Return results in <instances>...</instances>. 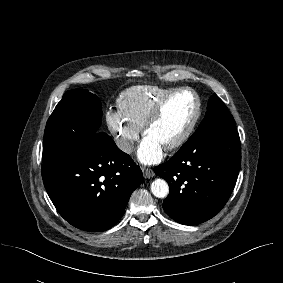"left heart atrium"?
Here are the masks:
<instances>
[{
    "label": "left heart atrium",
    "mask_w": 283,
    "mask_h": 283,
    "mask_svg": "<svg viewBox=\"0 0 283 283\" xmlns=\"http://www.w3.org/2000/svg\"><path fill=\"white\" fill-rule=\"evenodd\" d=\"M163 147L145 136L138 149V158L144 164H154L162 159Z\"/></svg>",
    "instance_id": "obj_1"
}]
</instances>
